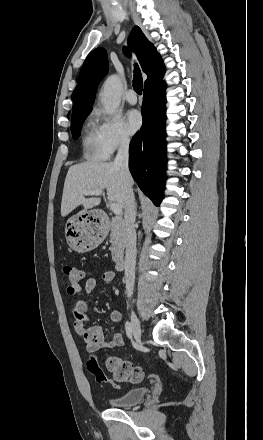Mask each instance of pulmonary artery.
<instances>
[{
	"mask_svg": "<svg viewBox=\"0 0 263 440\" xmlns=\"http://www.w3.org/2000/svg\"><path fill=\"white\" fill-rule=\"evenodd\" d=\"M125 99L128 103L134 105L137 103V95L133 90H129L125 94Z\"/></svg>",
	"mask_w": 263,
	"mask_h": 440,
	"instance_id": "pulmonary-artery-1",
	"label": "pulmonary artery"
}]
</instances>
